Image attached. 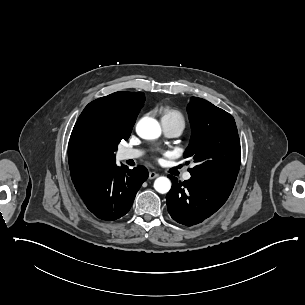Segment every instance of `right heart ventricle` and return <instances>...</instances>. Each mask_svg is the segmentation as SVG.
Returning a JSON list of instances; mask_svg holds the SVG:
<instances>
[{
	"label": "right heart ventricle",
	"instance_id": "right-heart-ventricle-1",
	"mask_svg": "<svg viewBox=\"0 0 305 305\" xmlns=\"http://www.w3.org/2000/svg\"><path fill=\"white\" fill-rule=\"evenodd\" d=\"M162 119L177 120L184 123L182 114L179 111L170 108H163L161 120Z\"/></svg>",
	"mask_w": 305,
	"mask_h": 305
}]
</instances>
